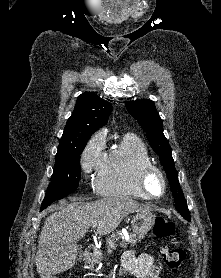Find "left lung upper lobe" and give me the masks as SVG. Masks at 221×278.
I'll return each instance as SVG.
<instances>
[{"instance_id": "obj_1", "label": "left lung upper lobe", "mask_w": 221, "mask_h": 278, "mask_svg": "<svg viewBox=\"0 0 221 278\" xmlns=\"http://www.w3.org/2000/svg\"><path fill=\"white\" fill-rule=\"evenodd\" d=\"M125 106L146 132V137L151 143L152 149L160 157V162L168 175L171 190L175 198L176 209L185 219L190 218L187 203L179 185L171 148L163 134L162 120L155 108L154 102L151 100L128 101L125 103Z\"/></svg>"}]
</instances>
